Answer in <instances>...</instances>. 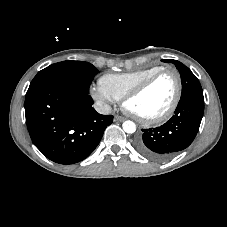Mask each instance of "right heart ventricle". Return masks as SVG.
Returning <instances> with one entry per match:
<instances>
[{
    "instance_id": "1",
    "label": "right heart ventricle",
    "mask_w": 227,
    "mask_h": 227,
    "mask_svg": "<svg viewBox=\"0 0 227 227\" xmlns=\"http://www.w3.org/2000/svg\"><path fill=\"white\" fill-rule=\"evenodd\" d=\"M162 68L151 66L126 73L105 74L99 79V86L113 99L120 100L130 89Z\"/></svg>"
}]
</instances>
